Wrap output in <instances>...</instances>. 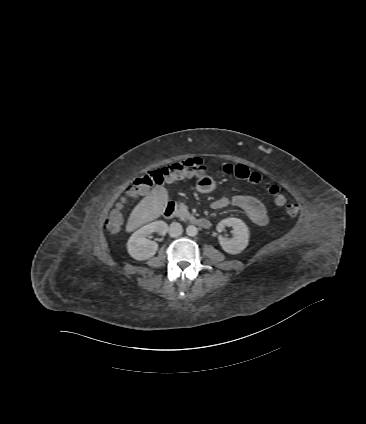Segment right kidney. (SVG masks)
Instances as JSON below:
<instances>
[{
	"label": "right kidney",
	"instance_id": "1",
	"mask_svg": "<svg viewBox=\"0 0 366 424\" xmlns=\"http://www.w3.org/2000/svg\"><path fill=\"white\" fill-rule=\"evenodd\" d=\"M168 231V225L164 221L151 222L137 231H135L127 243V250L130 256L138 261L148 260L152 258L158 250V244L146 237L157 232L164 236Z\"/></svg>",
	"mask_w": 366,
	"mask_h": 424
}]
</instances>
